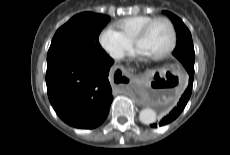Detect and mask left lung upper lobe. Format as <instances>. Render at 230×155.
<instances>
[{
  "mask_svg": "<svg viewBox=\"0 0 230 155\" xmlns=\"http://www.w3.org/2000/svg\"><path fill=\"white\" fill-rule=\"evenodd\" d=\"M164 13L172 20L177 33V45L173 55L181 62L182 59H188L194 62L195 53L192 42V37L189 29L185 26L182 20L171 12ZM182 63V62H181Z\"/></svg>",
  "mask_w": 230,
  "mask_h": 155,
  "instance_id": "left-lung-upper-lobe-1",
  "label": "left lung upper lobe"
}]
</instances>
